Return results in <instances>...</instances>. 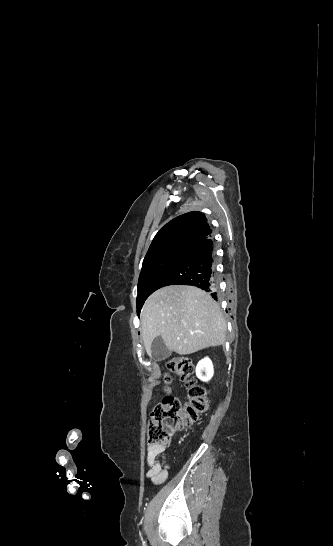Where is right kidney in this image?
Segmentation results:
<instances>
[{
  "label": "right kidney",
  "mask_w": 333,
  "mask_h": 546,
  "mask_svg": "<svg viewBox=\"0 0 333 546\" xmlns=\"http://www.w3.org/2000/svg\"><path fill=\"white\" fill-rule=\"evenodd\" d=\"M213 374V364L208 357L198 362L196 366V375L200 380L207 382L212 378Z\"/></svg>",
  "instance_id": "right-kidney-1"
}]
</instances>
